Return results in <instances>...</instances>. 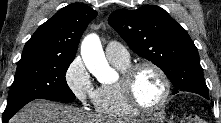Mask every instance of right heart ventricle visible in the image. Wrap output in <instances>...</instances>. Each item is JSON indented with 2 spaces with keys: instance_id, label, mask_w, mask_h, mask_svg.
<instances>
[{
  "instance_id": "e07e8e85",
  "label": "right heart ventricle",
  "mask_w": 221,
  "mask_h": 123,
  "mask_svg": "<svg viewBox=\"0 0 221 123\" xmlns=\"http://www.w3.org/2000/svg\"><path fill=\"white\" fill-rule=\"evenodd\" d=\"M111 63L120 72L130 66L129 61L125 63L111 61ZM94 106L99 115L110 119H126L137 115V111L124 100L118 81L103 84L97 89Z\"/></svg>"
}]
</instances>
